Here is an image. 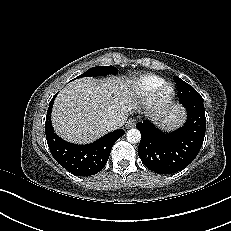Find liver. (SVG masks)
<instances>
[{
  "label": "liver",
  "instance_id": "1",
  "mask_svg": "<svg viewBox=\"0 0 231 231\" xmlns=\"http://www.w3.org/2000/svg\"><path fill=\"white\" fill-rule=\"evenodd\" d=\"M133 85L120 78H81L70 82L55 99L52 125L64 140L85 144L105 135L107 122L128 116L135 109ZM170 118L177 125L185 119L184 110L176 105Z\"/></svg>",
  "mask_w": 231,
  "mask_h": 231
}]
</instances>
